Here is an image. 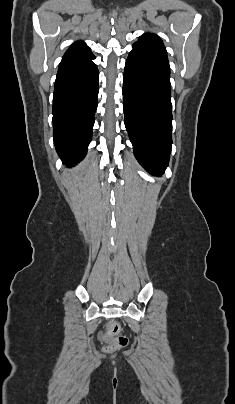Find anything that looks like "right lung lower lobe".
I'll return each instance as SVG.
<instances>
[{
    "mask_svg": "<svg viewBox=\"0 0 235 404\" xmlns=\"http://www.w3.org/2000/svg\"><path fill=\"white\" fill-rule=\"evenodd\" d=\"M94 56L61 61L54 87L53 137L67 166L86 155L97 109L99 72Z\"/></svg>",
    "mask_w": 235,
    "mask_h": 404,
    "instance_id": "98d812e1",
    "label": "right lung lower lobe"
}]
</instances>
